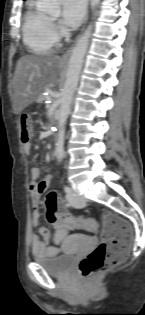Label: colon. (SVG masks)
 Returning a JSON list of instances; mask_svg holds the SVG:
<instances>
[{"label":"colon","instance_id":"1","mask_svg":"<svg viewBox=\"0 0 145 315\" xmlns=\"http://www.w3.org/2000/svg\"><path fill=\"white\" fill-rule=\"evenodd\" d=\"M21 139L29 143L33 135V120L31 115L20 116ZM47 219L54 223L58 220L77 229L95 231L96 222L92 219L70 215L58 196L51 192L45 202ZM103 232L99 245L78 266V274L84 280H91L102 272L114 268L127 255L131 240L130 224L114 213L103 214Z\"/></svg>","mask_w":145,"mask_h":315}]
</instances>
